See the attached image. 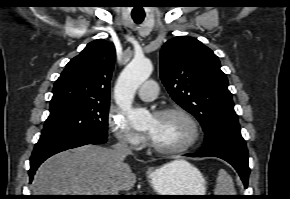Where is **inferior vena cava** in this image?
<instances>
[{"instance_id":"602c4592","label":"inferior vena cava","mask_w":290,"mask_h":199,"mask_svg":"<svg viewBox=\"0 0 290 199\" xmlns=\"http://www.w3.org/2000/svg\"><path fill=\"white\" fill-rule=\"evenodd\" d=\"M113 150L121 157L131 155L132 151L127 145V141L125 139L120 140L113 146Z\"/></svg>"}]
</instances>
